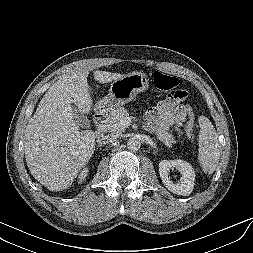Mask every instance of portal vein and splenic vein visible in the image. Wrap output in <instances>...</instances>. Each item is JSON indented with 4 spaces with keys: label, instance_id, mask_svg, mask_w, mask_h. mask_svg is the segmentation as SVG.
<instances>
[{
    "label": "portal vein and splenic vein",
    "instance_id": "18ae733b",
    "mask_svg": "<svg viewBox=\"0 0 253 253\" xmlns=\"http://www.w3.org/2000/svg\"><path fill=\"white\" fill-rule=\"evenodd\" d=\"M131 123V117H123L120 119V126L126 128Z\"/></svg>",
    "mask_w": 253,
    "mask_h": 253
}]
</instances>
